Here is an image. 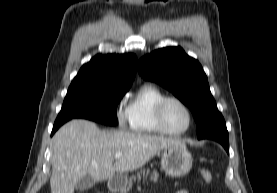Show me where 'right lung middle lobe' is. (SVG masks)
I'll list each match as a JSON object with an SVG mask.
<instances>
[{
	"mask_svg": "<svg viewBox=\"0 0 277 193\" xmlns=\"http://www.w3.org/2000/svg\"><path fill=\"white\" fill-rule=\"evenodd\" d=\"M126 91L68 89L56 121L84 118L106 125L117 123L116 108Z\"/></svg>",
	"mask_w": 277,
	"mask_h": 193,
	"instance_id": "obj_1",
	"label": "right lung middle lobe"
}]
</instances>
